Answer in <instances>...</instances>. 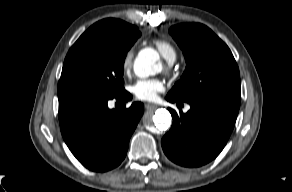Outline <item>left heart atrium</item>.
Returning <instances> with one entry per match:
<instances>
[{"label":"left heart atrium","instance_id":"obj_1","mask_svg":"<svg viewBox=\"0 0 292 192\" xmlns=\"http://www.w3.org/2000/svg\"><path fill=\"white\" fill-rule=\"evenodd\" d=\"M164 85L159 79H139L132 86L131 91L139 100H155L158 93L163 91Z\"/></svg>","mask_w":292,"mask_h":192}]
</instances>
